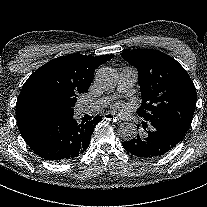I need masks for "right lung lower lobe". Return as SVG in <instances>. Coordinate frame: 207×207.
<instances>
[{"label": "right lung lower lobe", "instance_id": "right-lung-lower-lobe-1", "mask_svg": "<svg viewBox=\"0 0 207 207\" xmlns=\"http://www.w3.org/2000/svg\"><path fill=\"white\" fill-rule=\"evenodd\" d=\"M102 118L77 123L73 115L54 125L23 137L29 147L42 159L66 162L81 155L88 147L93 130Z\"/></svg>", "mask_w": 207, "mask_h": 207}]
</instances>
